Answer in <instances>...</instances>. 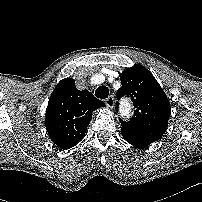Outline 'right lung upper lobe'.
I'll return each instance as SVG.
<instances>
[{"instance_id": "obj_1", "label": "right lung upper lobe", "mask_w": 202, "mask_h": 202, "mask_svg": "<svg viewBox=\"0 0 202 202\" xmlns=\"http://www.w3.org/2000/svg\"><path fill=\"white\" fill-rule=\"evenodd\" d=\"M105 104L88 90L80 91L75 80H61L50 96L45 127L51 140L60 149L78 144L85 135L92 112Z\"/></svg>"}]
</instances>
